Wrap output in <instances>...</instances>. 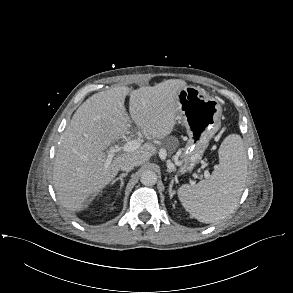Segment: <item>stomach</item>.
<instances>
[{
  "label": "stomach",
  "instance_id": "obj_1",
  "mask_svg": "<svg viewBox=\"0 0 293 293\" xmlns=\"http://www.w3.org/2000/svg\"><path fill=\"white\" fill-rule=\"evenodd\" d=\"M177 101L180 106L178 120L189 136L179 171L184 174L200 161L209 141L221 127L222 107L218 100L193 86L181 88Z\"/></svg>",
  "mask_w": 293,
  "mask_h": 293
}]
</instances>
